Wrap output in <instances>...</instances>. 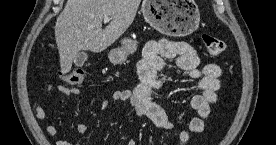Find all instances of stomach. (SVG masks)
I'll return each instance as SVG.
<instances>
[{
	"label": "stomach",
	"instance_id": "1",
	"mask_svg": "<svg viewBox=\"0 0 276 145\" xmlns=\"http://www.w3.org/2000/svg\"><path fill=\"white\" fill-rule=\"evenodd\" d=\"M141 10L151 27L168 36H187L200 22V12L194 0H144ZM121 44L108 55L113 64L123 63L137 49V42L131 38L122 39Z\"/></svg>",
	"mask_w": 276,
	"mask_h": 145
}]
</instances>
